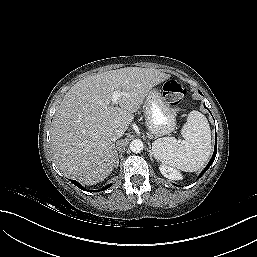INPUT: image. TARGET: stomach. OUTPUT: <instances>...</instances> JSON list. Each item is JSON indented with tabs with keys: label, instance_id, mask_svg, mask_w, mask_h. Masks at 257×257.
Wrapping results in <instances>:
<instances>
[{
	"label": "stomach",
	"instance_id": "1",
	"mask_svg": "<svg viewBox=\"0 0 257 257\" xmlns=\"http://www.w3.org/2000/svg\"><path fill=\"white\" fill-rule=\"evenodd\" d=\"M143 109L146 127L153 136H163L175 129V115L160 90H150Z\"/></svg>",
	"mask_w": 257,
	"mask_h": 257
}]
</instances>
